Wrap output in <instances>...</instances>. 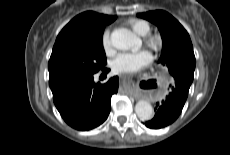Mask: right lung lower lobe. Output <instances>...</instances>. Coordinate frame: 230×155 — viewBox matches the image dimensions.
<instances>
[{"label": "right lung lower lobe", "mask_w": 230, "mask_h": 155, "mask_svg": "<svg viewBox=\"0 0 230 155\" xmlns=\"http://www.w3.org/2000/svg\"><path fill=\"white\" fill-rule=\"evenodd\" d=\"M94 74L49 76L56 108L65 122L77 130H90L102 124L111 110V97L118 90L117 76L101 84L94 82Z\"/></svg>", "instance_id": "obj_1"}]
</instances>
